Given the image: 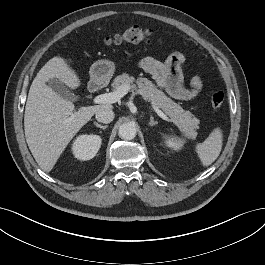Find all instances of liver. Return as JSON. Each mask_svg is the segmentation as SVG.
I'll return each mask as SVG.
<instances>
[{
    "label": "liver",
    "mask_w": 265,
    "mask_h": 265,
    "mask_svg": "<svg viewBox=\"0 0 265 265\" xmlns=\"http://www.w3.org/2000/svg\"><path fill=\"white\" fill-rule=\"evenodd\" d=\"M59 79L69 88L81 85L80 78L67 61L55 56L34 78L26 102L24 130L28 147L45 172H50L76 133L104 107L110 104L81 107L54 92L46 83Z\"/></svg>",
    "instance_id": "6515ba94"
}]
</instances>
